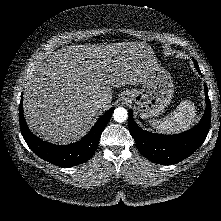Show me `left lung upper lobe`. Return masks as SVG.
Returning a JSON list of instances; mask_svg holds the SVG:
<instances>
[{
    "label": "left lung upper lobe",
    "instance_id": "left-lung-upper-lobe-1",
    "mask_svg": "<svg viewBox=\"0 0 221 221\" xmlns=\"http://www.w3.org/2000/svg\"><path fill=\"white\" fill-rule=\"evenodd\" d=\"M195 67H198V63L195 61V59H193Z\"/></svg>",
    "mask_w": 221,
    "mask_h": 221
}]
</instances>
